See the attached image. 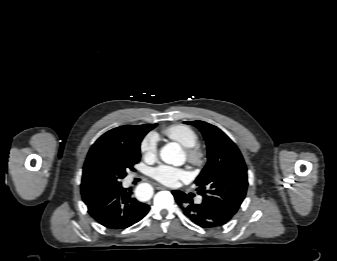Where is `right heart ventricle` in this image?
Here are the masks:
<instances>
[{
  "instance_id": "right-heart-ventricle-1",
  "label": "right heart ventricle",
  "mask_w": 337,
  "mask_h": 261,
  "mask_svg": "<svg viewBox=\"0 0 337 261\" xmlns=\"http://www.w3.org/2000/svg\"><path fill=\"white\" fill-rule=\"evenodd\" d=\"M162 133L168 139L176 141L183 147H192L199 142L197 132L184 124H172L163 129Z\"/></svg>"
}]
</instances>
